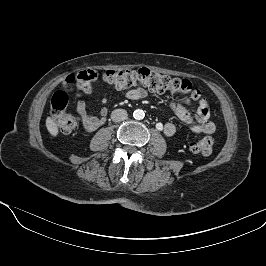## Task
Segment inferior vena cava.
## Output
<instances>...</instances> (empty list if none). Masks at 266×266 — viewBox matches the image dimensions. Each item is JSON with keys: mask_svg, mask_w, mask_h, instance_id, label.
Returning <instances> with one entry per match:
<instances>
[{"mask_svg": "<svg viewBox=\"0 0 266 266\" xmlns=\"http://www.w3.org/2000/svg\"><path fill=\"white\" fill-rule=\"evenodd\" d=\"M128 117L127 111L124 109H115L112 113H111V119L114 122H121L123 120H126Z\"/></svg>", "mask_w": 266, "mask_h": 266, "instance_id": "1", "label": "inferior vena cava"}]
</instances>
